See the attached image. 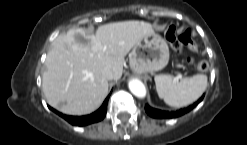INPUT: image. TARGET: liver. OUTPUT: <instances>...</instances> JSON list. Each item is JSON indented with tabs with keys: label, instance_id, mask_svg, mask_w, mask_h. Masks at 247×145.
<instances>
[{
	"label": "liver",
	"instance_id": "6515ba94",
	"mask_svg": "<svg viewBox=\"0 0 247 145\" xmlns=\"http://www.w3.org/2000/svg\"><path fill=\"white\" fill-rule=\"evenodd\" d=\"M152 33L150 23L130 20L101 25L95 35L81 28L59 35L47 54L42 77L48 104L69 115L98 109L108 94L102 70L109 68L113 79L119 80L125 56Z\"/></svg>",
	"mask_w": 247,
	"mask_h": 145
}]
</instances>
